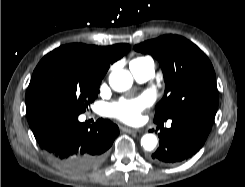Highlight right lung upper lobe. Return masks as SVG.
I'll return each mask as SVG.
<instances>
[{"mask_svg": "<svg viewBox=\"0 0 245 187\" xmlns=\"http://www.w3.org/2000/svg\"><path fill=\"white\" fill-rule=\"evenodd\" d=\"M66 46L80 50L94 66L96 72L102 76L105 75L110 64L120 59L130 50L128 44H116L107 47L89 46L85 44H69Z\"/></svg>", "mask_w": 245, "mask_h": 187, "instance_id": "obj_1", "label": "right lung upper lobe"}]
</instances>
